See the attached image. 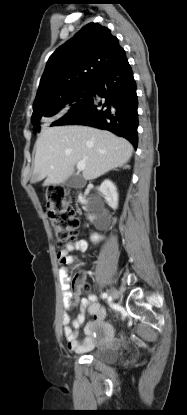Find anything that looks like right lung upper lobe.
Listing matches in <instances>:
<instances>
[{"label": "right lung upper lobe", "mask_w": 187, "mask_h": 415, "mask_svg": "<svg viewBox=\"0 0 187 415\" xmlns=\"http://www.w3.org/2000/svg\"><path fill=\"white\" fill-rule=\"evenodd\" d=\"M123 51L108 28L98 23L84 26L50 56L33 108L57 102L70 90L92 83Z\"/></svg>", "instance_id": "1"}]
</instances>
